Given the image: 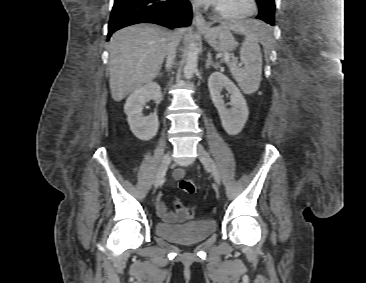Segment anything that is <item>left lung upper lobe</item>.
I'll use <instances>...</instances> for the list:
<instances>
[{
  "label": "left lung upper lobe",
  "instance_id": "obj_1",
  "mask_svg": "<svg viewBox=\"0 0 366 283\" xmlns=\"http://www.w3.org/2000/svg\"><path fill=\"white\" fill-rule=\"evenodd\" d=\"M259 14L256 18L274 26L275 22V3L274 0H257Z\"/></svg>",
  "mask_w": 366,
  "mask_h": 283
}]
</instances>
